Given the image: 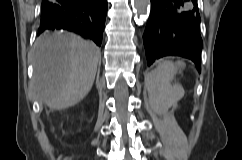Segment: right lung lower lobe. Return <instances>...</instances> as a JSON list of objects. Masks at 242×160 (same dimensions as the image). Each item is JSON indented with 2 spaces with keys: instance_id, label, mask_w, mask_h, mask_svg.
Returning <instances> with one entry per match:
<instances>
[{
  "instance_id": "obj_1",
  "label": "right lung lower lobe",
  "mask_w": 242,
  "mask_h": 160,
  "mask_svg": "<svg viewBox=\"0 0 242 160\" xmlns=\"http://www.w3.org/2000/svg\"><path fill=\"white\" fill-rule=\"evenodd\" d=\"M107 0H42L38 35L47 30H67L101 46Z\"/></svg>"
}]
</instances>
